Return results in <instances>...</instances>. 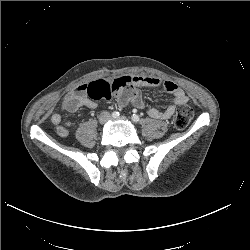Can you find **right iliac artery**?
Wrapping results in <instances>:
<instances>
[{
	"instance_id": "obj_1",
	"label": "right iliac artery",
	"mask_w": 250,
	"mask_h": 250,
	"mask_svg": "<svg viewBox=\"0 0 250 250\" xmlns=\"http://www.w3.org/2000/svg\"><path fill=\"white\" fill-rule=\"evenodd\" d=\"M118 116H119V112L114 111V112L112 113V117H113V118H117Z\"/></svg>"
}]
</instances>
